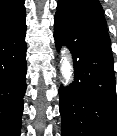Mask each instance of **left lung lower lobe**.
<instances>
[{
    "instance_id": "left-lung-lower-lobe-1",
    "label": "left lung lower lobe",
    "mask_w": 117,
    "mask_h": 136,
    "mask_svg": "<svg viewBox=\"0 0 117 136\" xmlns=\"http://www.w3.org/2000/svg\"><path fill=\"white\" fill-rule=\"evenodd\" d=\"M54 37L59 50L73 53L75 78L61 86L62 136H117L114 61L107 30L55 15Z\"/></svg>"
}]
</instances>
